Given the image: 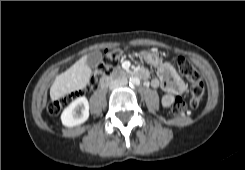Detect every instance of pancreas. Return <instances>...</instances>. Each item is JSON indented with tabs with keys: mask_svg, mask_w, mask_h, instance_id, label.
<instances>
[{
	"mask_svg": "<svg viewBox=\"0 0 245 170\" xmlns=\"http://www.w3.org/2000/svg\"><path fill=\"white\" fill-rule=\"evenodd\" d=\"M123 70L121 68L116 69L114 72H112L111 77H114L118 74H123Z\"/></svg>",
	"mask_w": 245,
	"mask_h": 170,
	"instance_id": "1",
	"label": "pancreas"
}]
</instances>
